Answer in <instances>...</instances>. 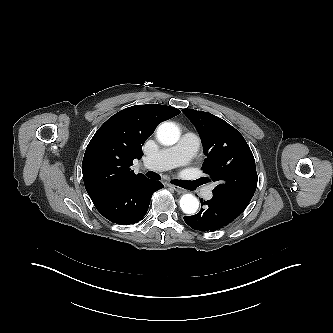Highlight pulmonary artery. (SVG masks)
<instances>
[{
  "instance_id": "obj_1",
  "label": "pulmonary artery",
  "mask_w": 333,
  "mask_h": 333,
  "mask_svg": "<svg viewBox=\"0 0 333 333\" xmlns=\"http://www.w3.org/2000/svg\"><path fill=\"white\" fill-rule=\"evenodd\" d=\"M200 145L199 137L194 133L184 134L179 142L172 147L162 149L145 158L144 165L154 170H167L188 163ZM204 197L212 198V190H205Z\"/></svg>"
}]
</instances>
